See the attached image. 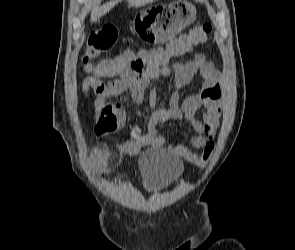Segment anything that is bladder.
Wrapping results in <instances>:
<instances>
[{"label":"bladder","instance_id":"31cf9c89","mask_svg":"<svg viewBox=\"0 0 295 250\" xmlns=\"http://www.w3.org/2000/svg\"><path fill=\"white\" fill-rule=\"evenodd\" d=\"M143 182L148 191L158 193L171 186L182 175L181 158L162 149H150L140 156Z\"/></svg>","mask_w":295,"mask_h":250}]
</instances>
